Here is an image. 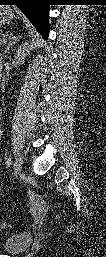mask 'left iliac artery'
<instances>
[{"label":"left iliac artery","instance_id":"1","mask_svg":"<svg viewBox=\"0 0 106 257\" xmlns=\"http://www.w3.org/2000/svg\"><path fill=\"white\" fill-rule=\"evenodd\" d=\"M11 164V157L9 156L7 159H6V168H8Z\"/></svg>","mask_w":106,"mask_h":257}]
</instances>
